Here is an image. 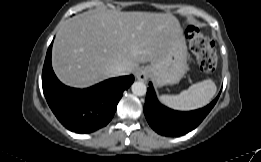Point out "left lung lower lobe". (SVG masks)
I'll list each match as a JSON object with an SVG mask.
<instances>
[{"label": "left lung lower lobe", "mask_w": 261, "mask_h": 162, "mask_svg": "<svg viewBox=\"0 0 261 162\" xmlns=\"http://www.w3.org/2000/svg\"><path fill=\"white\" fill-rule=\"evenodd\" d=\"M219 95L204 108L189 112L175 111L160 104L152 83H149L144 114L155 132L163 136L178 137L194 130L203 121L216 104Z\"/></svg>", "instance_id": "left-lung-lower-lobe-1"}]
</instances>
